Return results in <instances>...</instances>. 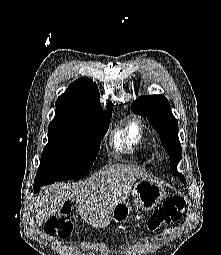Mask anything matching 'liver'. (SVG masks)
Returning a JSON list of instances; mask_svg holds the SVG:
<instances>
[{
    "label": "liver",
    "instance_id": "6515ba94",
    "mask_svg": "<svg viewBox=\"0 0 221 255\" xmlns=\"http://www.w3.org/2000/svg\"><path fill=\"white\" fill-rule=\"evenodd\" d=\"M146 176L138 168L115 164L83 182L44 188L34 203L37 224L47 222L66 201L74 199L79 215L87 224L104 228L112 220L114 207L128 199L134 182Z\"/></svg>",
    "mask_w": 221,
    "mask_h": 255
}]
</instances>
